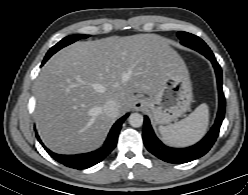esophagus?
<instances>
[{
  "label": "esophagus",
  "mask_w": 248,
  "mask_h": 195,
  "mask_svg": "<svg viewBox=\"0 0 248 195\" xmlns=\"http://www.w3.org/2000/svg\"><path fill=\"white\" fill-rule=\"evenodd\" d=\"M146 106V100L143 98H138L135 100V102L133 103V108L136 111H140L142 110L144 107Z\"/></svg>",
  "instance_id": "obj_1"
}]
</instances>
